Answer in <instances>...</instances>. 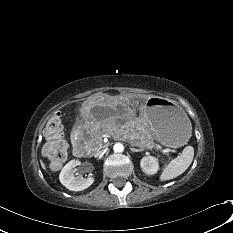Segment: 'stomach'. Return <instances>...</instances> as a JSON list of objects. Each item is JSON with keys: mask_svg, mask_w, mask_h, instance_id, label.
<instances>
[{"mask_svg": "<svg viewBox=\"0 0 233 233\" xmlns=\"http://www.w3.org/2000/svg\"><path fill=\"white\" fill-rule=\"evenodd\" d=\"M140 107V100L128 93L102 94L89 98L83 105L82 114L96 123L129 118ZM144 118L153 136L163 145L176 148L184 145L191 133L188 116L171 100L150 97L143 110Z\"/></svg>", "mask_w": 233, "mask_h": 233, "instance_id": "obj_1", "label": "stomach"}]
</instances>
